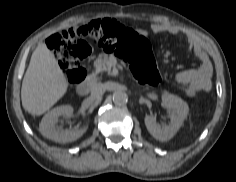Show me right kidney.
Here are the masks:
<instances>
[{
  "label": "right kidney",
  "mask_w": 236,
  "mask_h": 182,
  "mask_svg": "<svg viewBox=\"0 0 236 182\" xmlns=\"http://www.w3.org/2000/svg\"><path fill=\"white\" fill-rule=\"evenodd\" d=\"M73 108L70 105L59 106L49 111L41 120L39 125L40 133L55 142L67 143L79 139L86 132L87 127L79 129H61L57 126L59 116H70Z\"/></svg>",
  "instance_id": "obj_1"
}]
</instances>
